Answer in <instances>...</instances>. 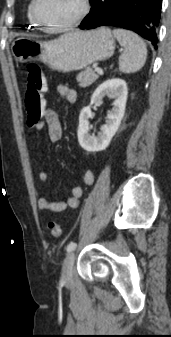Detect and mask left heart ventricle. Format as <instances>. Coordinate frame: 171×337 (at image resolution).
Returning a JSON list of instances; mask_svg holds the SVG:
<instances>
[{
	"instance_id": "obj_1",
	"label": "left heart ventricle",
	"mask_w": 171,
	"mask_h": 337,
	"mask_svg": "<svg viewBox=\"0 0 171 337\" xmlns=\"http://www.w3.org/2000/svg\"><path fill=\"white\" fill-rule=\"evenodd\" d=\"M81 6V0H40L38 12L47 24L60 25L75 18Z\"/></svg>"
}]
</instances>
